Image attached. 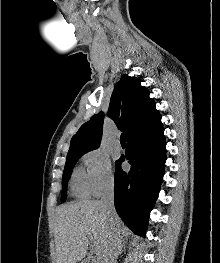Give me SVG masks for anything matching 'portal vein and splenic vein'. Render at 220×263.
Instances as JSON below:
<instances>
[{
	"label": "portal vein and splenic vein",
	"mask_w": 220,
	"mask_h": 263,
	"mask_svg": "<svg viewBox=\"0 0 220 263\" xmlns=\"http://www.w3.org/2000/svg\"><path fill=\"white\" fill-rule=\"evenodd\" d=\"M92 247H93L92 248L93 252H95V253L98 252V248L96 247V243L95 242L93 243Z\"/></svg>",
	"instance_id": "18ae733b"
}]
</instances>
